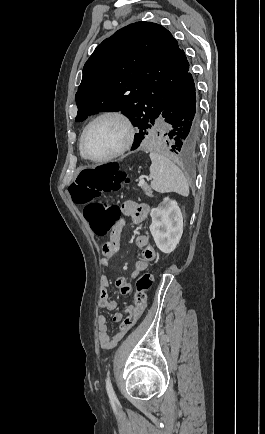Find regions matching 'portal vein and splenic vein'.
<instances>
[{"label": "portal vein and splenic vein", "mask_w": 265, "mask_h": 434, "mask_svg": "<svg viewBox=\"0 0 265 434\" xmlns=\"http://www.w3.org/2000/svg\"><path fill=\"white\" fill-rule=\"evenodd\" d=\"M144 178H145V176H143V178H140L138 186H143V184L145 182ZM150 180H152V176H150Z\"/></svg>", "instance_id": "18ae733b"}]
</instances>
